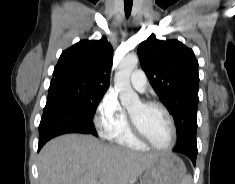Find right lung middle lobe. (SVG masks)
I'll list each match as a JSON object with an SVG mask.
<instances>
[{
	"label": "right lung middle lobe",
	"instance_id": "dd1d6c3e",
	"mask_svg": "<svg viewBox=\"0 0 235 184\" xmlns=\"http://www.w3.org/2000/svg\"><path fill=\"white\" fill-rule=\"evenodd\" d=\"M108 87L95 85L67 84L48 95L59 97L81 110L86 116L93 118L95 110Z\"/></svg>",
	"mask_w": 235,
	"mask_h": 184
}]
</instances>
